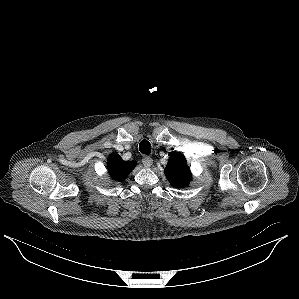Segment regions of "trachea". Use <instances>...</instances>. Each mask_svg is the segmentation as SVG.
Wrapping results in <instances>:
<instances>
[{"mask_svg": "<svg viewBox=\"0 0 299 299\" xmlns=\"http://www.w3.org/2000/svg\"><path fill=\"white\" fill-rule=\"evenodd\" d=\"M139 150L141 153L149 155L151 153V144L147 140H142L139 144Z\"/></svg>", "mask_w": 299, "mask_h": 299, "instance_id": "trachea-1", "label": "trachea"}]
</instances>
